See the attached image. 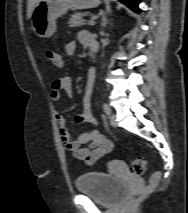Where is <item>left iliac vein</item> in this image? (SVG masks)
Segmentation results:
<instances>
[{"label":"left iliac vein","mask_w":188,"mask_h":213,"mask_svg":"<svg viewBox=\"0 0 188 213\" xmlns=\"http://www.w3.org/2000/svg\"><path fill=\"white\" fill-rule=\"evenodd\" d=\"M110 124H111L113 127H117L116 116H115L114 114L111 115V117H110Z\"/></svg>","instance_id":"1"}]
</instances>
